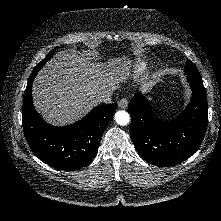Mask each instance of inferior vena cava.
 <instances>
[{"label":"inferior vena cava","instance_id":"inferior-vena-cava-1","mask_svg":"<svg viewBox=\"0 0 221 221\" xmlns=\"http://www.w3.org/2000/svg\"><path fill=\"white\" fill-rule=\"evenodd\" d=\"M111 96H112V91H104L96 97V103L111 104L112 103Z\"/></svg>","mask_w":221,"mask_h":221}]
</instances>
